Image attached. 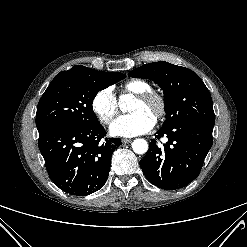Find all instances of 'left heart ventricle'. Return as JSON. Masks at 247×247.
I'll list each match as a JSON object with an SVG mask.
<instances>
[{"mask_svg": "<svg viewBox=\"0 0 247 247\" xmlns=\"http://www.w3.org/2000/svg\"><path fill=\"white\" fill-rule=\"evenodd\" d=\"M136 111H144L150 114L151 116H155L156 104L155 103L144 104L136 99L131 107V112H136Z\"/></svg>", "mask_w": 247, "mask_h": 247, "instance_id": "left-heart-ventricle-1", "label": "left heart ventricle"}]
</instances>
